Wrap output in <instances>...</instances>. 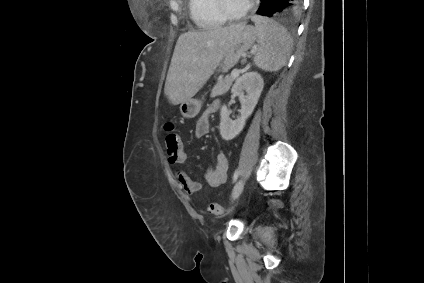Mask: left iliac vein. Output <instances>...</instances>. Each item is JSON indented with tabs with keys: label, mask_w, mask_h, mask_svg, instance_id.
Listing matches in <instances>:
<instances>
[{
	"label": "left iliac vein",
	"mask_w": 424,
	"mask_h": 283,
	"mask_svg": "<svg viewBox=\"0 0 424 283\" xmlns=\"http://www.w3.org/2000/svg\"><path fill=\"white\" fill-rule=\"evenodd\" d=\"M243 188H244V180L243 179H240L236 183V185H235V187H234V189L232 191V195H231L232 201L236 200L240 196V194L243 191Z\"/></svg>",
	"instance_id": "4c4485c4"
}]
</instances>
